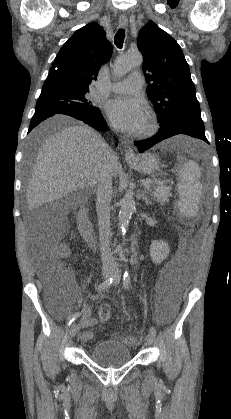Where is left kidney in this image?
<instances>
[{
  "label": "left kidney",
  "instance_id": "1",
  "mask_svg": "<svg viewBox=\"0 0 231 419\" xmlns=\"http://www.w3.org/2000/svg\"><path fill=\"white\" fill-rule=\"evenodd\" d=\"M170 252L168 243L163 240H155L150 246V257L155 264H161V262L168 257Z\"/></svg>",
  "mask_w": 231,
  "mask_h": 419
}]
</instances>
